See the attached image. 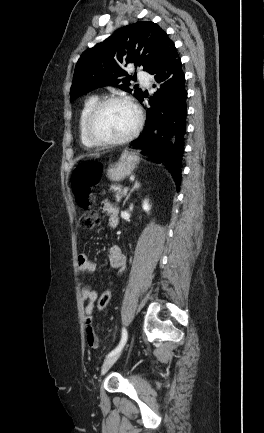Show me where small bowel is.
Instances as JSON below:
<instances>
[{
	"mask_svg": "<svg viewBox=\"0 0 264 433\" xmlns=\"http://www.w3.org/2000/svg\"><path fill=\"white\" fill-rule=\"evenodd\" d=\"M101 210L109 216V225L111 227H116L118 224V215H117V209L114 207V205L108 200H104L101 203ZM107 258L112 268L118 270L119 272L124 271L126 267L127 259L125 254L122 252L121 248L118 245H113L109 249ZM77 262H78L79 270L82 273H92L96 269L95 264L84 253H80L78 255ZM97 296L98 294L94 289L90 288L87 285L82 286L81 298L84 305V315H85V322H86V329H85L86 343L88 347L91 349L97 348L99 344V338L95 333L92 325L93 322L92 313L94 309V303L97 300Z\"/></svg>",
	"mask_w": 264,
	"mask_h": 433,
	"instance_id": "c3829d8e",
	"label": "small bowel"
}]
</instances>
